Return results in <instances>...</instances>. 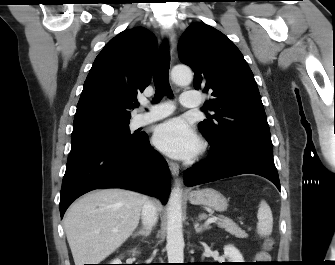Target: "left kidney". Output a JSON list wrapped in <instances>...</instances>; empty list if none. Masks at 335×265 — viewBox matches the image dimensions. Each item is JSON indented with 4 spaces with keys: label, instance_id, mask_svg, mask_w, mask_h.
I'll use <instances>...</instances> for the list:
<instances>
[{
    "label": "left kidney",
    "instance_id": "obj_1",
    "mask_svg": "<svg viewBox=\"0 0 335 265\" xmlns=\"http://www.w3.org/2000/svg\"><path fill=\"white\" fill-rule=\"evenodd\" d=\"M224 256L229 262H243V256L237 248L232 245H226L224 247Z\"/></svg>",
    "mask_w": 335,
    "mask_h": 265
}]
</instances>
